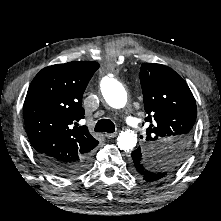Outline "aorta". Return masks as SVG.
<instances>
[{
    "label": "aorta",
    "instance_id": "aorta-1",
    "mask_svg": "<svg viewBox=\"0 0 221 221\" xmlns=\"http://www.w3.org/2000/svg\"><path fill=\"white\" fill-rule=\"evenodd\" d=\"M102 95L109 106L115 109L123 108L127 102V93L123 85L112 77H106L101 82ZM137 143V134L132 130L122 131L117 138L121 150L130 151Z\"/></svg>",
    "mask_w": 221,
    "mask_h": 221
}]
</instances>
